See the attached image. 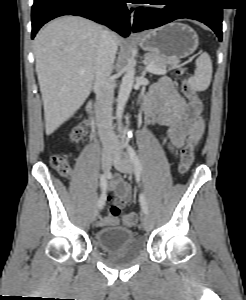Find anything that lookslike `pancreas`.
I'll list each match as a JSON object with an SVG mask.
<instances>
[{
	"label": "pancreas",
	"instance_id": "1",
	"mask_svg": "<svg viewBox=\"0 0 246 300\" xmlns=\"http://www.w3.org/2000/svg\"><path fill=\"white\" fill-rule=\"evenodd\" d=\"M145 61L147 62L148 65H153L155 68L162 70L164 72H167L166 69L167 64L170 63L152 53H147L145 55Z\"/></svg>",
	"mask_w": 246,
	"mask_h": 300
}]
</instances>
